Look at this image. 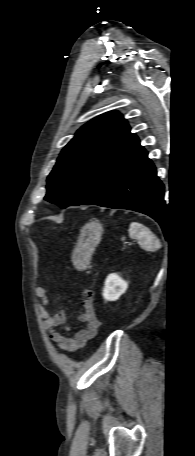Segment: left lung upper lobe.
<instances>
[{
  "mask_svg": "<svg viewBox=\"0 0 195 456\" xmlns=\"http://www.w3.org/2000/svg\"><path fill=\"white\" fill-rule=\"evenodd\" d=\"M135 139L116 111L86 123L60 153L47 178L45 200L62 208L83 204L103 185Z\"/></svg>",
  "mask_w": 195,
  "mask_h": 456,
  "instance_id": "left-lung-upper-lobe-1",
  "label": "left lung upper lobe"
}]
</instances>
